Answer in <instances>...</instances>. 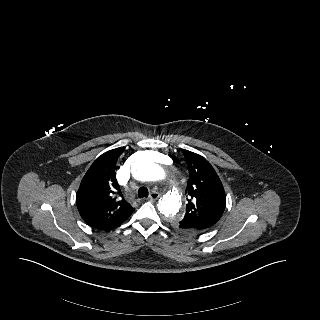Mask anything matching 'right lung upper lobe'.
<instances>
[{
	"label": "right lung upper lobe",
	"instance_id": "1",
	"mask_svg": "<svg viewBox=\"0 0 320 320\" xmlns=\"http://www.w3.org/2000/svg\"><path fill=\"white\" fill-rule=\"evenodd\" d=\"M124 149L116 148L100 155L83 177L76 195L82 219L98 230H113L135 210L122 197L115 168Z\"/></svg>",
	"mask_w": 320,
	"mask_h": 320
}]
</instances>
